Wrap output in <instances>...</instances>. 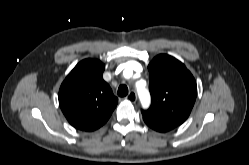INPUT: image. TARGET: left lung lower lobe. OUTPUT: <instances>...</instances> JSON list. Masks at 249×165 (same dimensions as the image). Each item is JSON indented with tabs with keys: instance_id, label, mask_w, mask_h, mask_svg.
<instances>
[{
	"instance_id": "left-lung-lower-lobe-1",
	"label": "left lung lower lobe",
	"mask_w": 249,
	"mask_h": 165,
	"mask_svg": "<svg viewBox=\"0 0 249 165\" xmlns=\"http://www.w3.org/2000/svg\"><path fill=\"white\" fill-rule=\"evenodd\" d=\"M145 123L152 129L158 131V132H167V131H170L172 130L173 128L175 127H172V126H169V125H166V124H161V123H155V122H152V121H149L145 118H143Z\"/></svg>"
}]
</instances>
